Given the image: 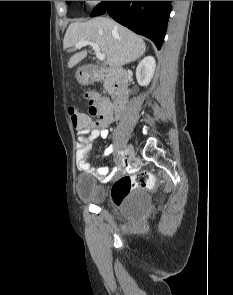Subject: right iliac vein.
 <instances>
[{
  "mask_svg": "<svg viewBox=\"0 0 233 295\" xmlns=\"http://www.w3.org/2000/svg\"><path fill=\"white\" fill-rule=\"evenodd\" d=\"M135 158V151L132 145L128 147V161L132 162Z\"/></svg>",
  "mask_w": 233,
  "mask_h": 295,
  "instance_id": "63e3f726",
  "label": "right iliac vein"
}]
</instances>
